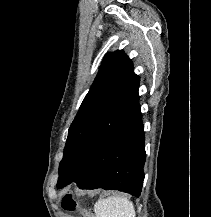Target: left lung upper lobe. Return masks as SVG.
I'll list each match as a JSON object with an SVG mask.
<instances>
[{"label":"left lung upper lobe","mask_w":211,"mask_h":217,"mask_svg":"<svg viewBox=\"0 0 211 217\" xmlns=\"http://www.w3.org/2000/svg\"><path fill=\"white\" fill-rule=\"evenodd\" d=\"M139 82L123 50L107 54L69 127L58 188L76 178L103 143L140 112Z\"/></svg>","instance_id":"1"}]
</instances>
